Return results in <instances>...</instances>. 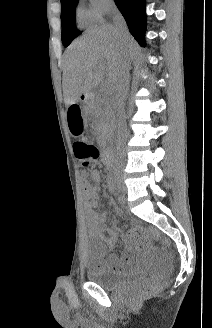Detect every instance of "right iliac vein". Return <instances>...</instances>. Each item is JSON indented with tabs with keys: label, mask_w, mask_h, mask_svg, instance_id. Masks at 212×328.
Segmentation results:
<instances>
[{
	"label": "right iliac vein",
	"mask_w": 212,
	"mask_h": 328,
	"mask_svg": "<svg viewBox=\"0 0 212 328\" xmlns=\"http://www.w3.org/2000/svg\"><path fill=\"white\" fill-rule=\"evenodd\" d=\"M122 190H123V192H125L126 191V188L125 187H122Z\"/></svg>",
	"instance_id": "obj_1"
}]
</instances>
